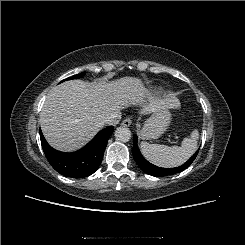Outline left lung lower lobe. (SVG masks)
Segmentation results:
<instances>
[{
  "label": "left lung lower lobe",
  "instance_id": "1",
  "mask_svg": "<svg viewBox=\"0 0 245 245\" xmlns=\"http://www.w3.org/2000/svg\"><path fill=\"white\" fill-rule=\"evenodd\" d=\"M132 154H133V158L136 161V163L138 164V166L140 167V169L142 171H144L145 173L152 175V176H156V177H163V176H169V175H173L176 173H179L181 171H183L184 169H186L187 167H189L192 162L195 160L198 151L183 165L179 166V167H175V168H161V167H157L151 163H149L140 153L138 146H137V136L134 135V145H133V149H132Z\"/></svg>",
  "mask_w": 245,
  "mask_h": 245
}]
</instances>
